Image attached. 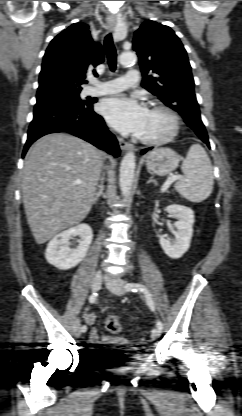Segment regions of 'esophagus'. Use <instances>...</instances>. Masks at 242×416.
<instances>
[{
  "mask_svg": "<svg viewBox=\"0 0 242 416\" xmlns=\"http://www.w3.org/2000/svg\"><path fill=\"white\" fill-rule=\"evenodd\" d=\"M115 25H116L115 22H111V21L107 22L108 30L109 31H114ZM118 141H119V145H120L122 150L128 151V150H133L134 149V146L131 143L126 142L122 138H119Z\"/></svg>",
  "mask_w": 242,
  "mask_h": 416,
  "instance_id": "esophagus-1",
  "label": "esophagus"
}]
</instances>
